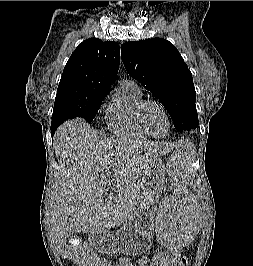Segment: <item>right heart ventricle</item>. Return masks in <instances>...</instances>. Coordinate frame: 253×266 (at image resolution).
Wrapping results in <instances>:
<instances>
[{
    "instance_id": "1",
    "label": "right heart ventricle",
    "mask_w": 253,
    "mask_h": 266,
    "mask_svg": "<svg viewBox=\"0 0 253 266\" xmlns=\"http://www.w3.org/2000/svg\"><path fill=\"white\" fill-rule=\"evenodd\" d=\"M144 100L142 89L133 81L124 80L115 89L107 109V125L116 135L144 139L148 135L139 127L136 111Z\"/></svg>"
}]
</instances>
